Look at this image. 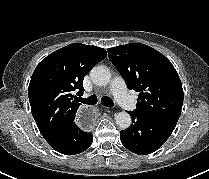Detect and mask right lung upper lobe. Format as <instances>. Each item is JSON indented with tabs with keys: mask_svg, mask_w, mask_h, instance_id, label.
<instances>
[{
	"mask_svg": "<svg viewBox=\"0 0 209 179\" xmlns=\"http://www.w3.org/2000/svg\"><path fill=\"white\" fill-rule=\"evenodd\" d=\"M107 56L103 48L73 43L43 59L28 88L32 115L46 139L74 120L81 105L72 94H83V79Z\"/></svg>",
	"mask_w": 209,
	"mask_h": 179,
	"instance_id": "cb5924a9",
	"label": "right lung upper lobe"
}]
</instances>
